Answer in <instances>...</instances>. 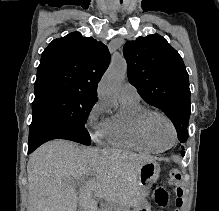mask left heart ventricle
<instances>
[{"label": "left heart ventricle", "mask_w": 219, "mask_h": 211, "mask_svg": "<svg viewBox=\"0 0 219 211\" xmlns=\"http://www.w3.org/2000/svg\"><path fill=\"white\" fill-rule=\"evenodd\" d=\"M151 128L155 140L161 147H167L173 143V131L166 120L162 118L154 119Z\"/></svg>", "instance_id": "1"}]
</instances>
